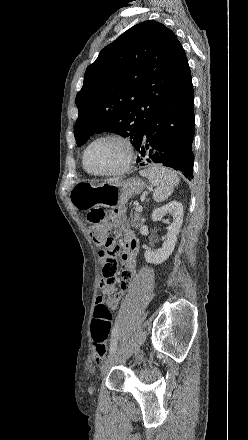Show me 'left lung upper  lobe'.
Instances as JSON below:
<instances>
[{"mask_svg":"<svg viewBox=\"0 0 248 440\" xmlns=\"http://www.w3.org/2000/svg\"><path fill=\"white\" fill-rule=\"evenodd\" d=\"M184 49L162 23L137 24L103 48L76 96V144L103 131L136 146L149 120L191 82Z\"/></svg>","mask_w":248,"mask_h":440,"instance_id":"1","label":"left lung upper lobe"}]
</instances>
